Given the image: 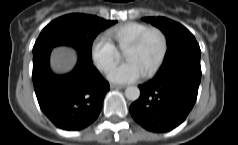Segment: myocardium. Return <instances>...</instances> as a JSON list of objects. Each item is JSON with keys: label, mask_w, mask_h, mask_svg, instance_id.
Returning <instances> with one entry per match:
<instances>
[{"label": "myocardium", "mask_w": 238, "mask_h": 145, "mask_svg": "<svg viewBox=\"0 0 238 145\" xmlns=\"http://www.w3.org/2000/svg\"><path fill=\"white\" fill-rule=\"evenodd\" d=\"M156 33L160 39H161V51L160 54L157 58V60L154 62V64L151 66V68L144 73V76L149 77L152 76L162 65L167 51H168V40H167V36L164 33V31L158 27H149L147 30H145L144 32H142L137 38H135L126 48L127 49H137L139 48L144 41L147 39V37L150 34Z\"/></svg>", "instance_id": "f54148a6"}]
</instances>
